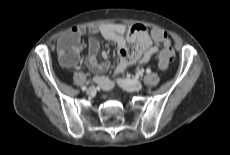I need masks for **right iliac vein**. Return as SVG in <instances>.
I'll return each mask as SVG.
<instances>
[{
    "mask_svg": "<svg viewBox=\"0 0 230 155\" xmlns=\"http://www.w3.org/2000/svg\"><path fill=\"white\" fill-rule=\"evenodd\" d=\"M86 92L88 94H93L95 92V88L93 86H91V87L87 88Z\"/></svg>",
    "mask_w": 230,
    "mask_h": 155,
    "instance_id": "obj_1",
    "label": "right iliac vein"
}]
</instances>
